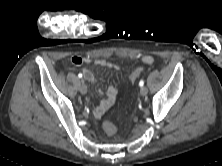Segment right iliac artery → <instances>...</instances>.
Listing matches in <instances>:
<instances>
[{
    "label": "right iliac artery",
    "instance_id": "82829eb1",
    "mask_svg": "<svg viewBox=\"0 0 222 166\" xmlns=\"http://www.w3.org/2000/svg\"><path fill=\"white\" fill-rule=\"evenodd\" d=\"M78 77H79V78H82V74H81V73H79V74H78Z\"/></svg>",
    "mask_w": 222,
    "mask_h": 166
}]
</instances>
